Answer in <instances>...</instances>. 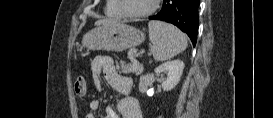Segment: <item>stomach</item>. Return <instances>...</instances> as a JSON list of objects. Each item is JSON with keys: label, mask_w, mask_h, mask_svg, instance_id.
Returning <instances> with one entry per match:
<instances>
[{"label": "stomach", "mask_w": 273, "mask_h": 118, "mask_svg": "<svg viewBox=\"0 0 273 118\" xmlns=\"http://www.w3.org/2000/svg\"><path fill=\"white\" fill-rule=\"evenodd\" d=\"M145 34L122 22L98 26L82 38V46L89 50L123 51L140 45Z\"/></svg>", "instance_id": "1"}]
</instances>
